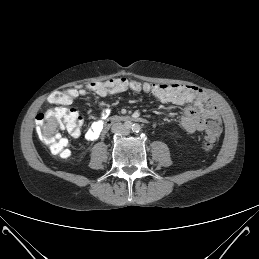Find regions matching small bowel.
I'll return each instance as SVG.
<instances>
[{
  "label": "small bowel",
  "mask_w": 259,
  "mask_h": 259,
  "mask_svg": "<svg viewBox=\"0 0 259 259\" xmlns=\"http://www.w3.org/2000/svg\"><path fill=\"white\" fill-rule=\"evenodd\" d=\"M198 90L199 97L196 100H189L184 103L170 102L176 105L189 104L185 108L184 115L181 118V125L188 133L201 132L206 129L208 124L211 122L217 123L219 125V116L216 108H214L209 103L207 96L202 92V90ZM107 115L108 111L106 109L100 112L99 118L95 120L86 130V139L95 140L101 135L103 132V120L107 117ZM69 155L70 152H68V156Z\"/></svg>",
  "instance_id": "obj_1"
}]
</instances>
